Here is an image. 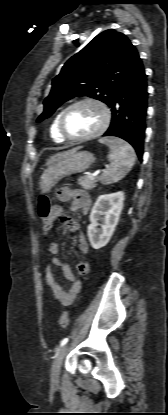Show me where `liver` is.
Here are the masks:
<instances>
[{
    "instance_id": "liver-1",
    "label": "liver",
    "mask_w": 168,
    "mask_h": 415,
    "mask_svg": "<svg viewBox=\"0 0 168 415\" xmlns=\"http://www.w3.org/2000/svg\"><path fill=\"white\" fill-rule=\"evenodd\" d=\"M69 151L57 153L55 155L50 156V158L46 161V165L50 166L52 163H54L57 159H60L64 155H66Z\"/></svg>"
}]
</instances>
